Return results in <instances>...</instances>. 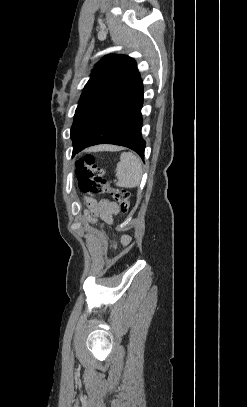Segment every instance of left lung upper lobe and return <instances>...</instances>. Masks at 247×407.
<instances>
[{
  "label": "left lung upper lobe",
  "mask_w": 247,
  "mask_h": 407,
  "mask_svg": "<svg viewBox=\"0 0 247 407\" xmlns=\"http://www.w3.org/2000/svg\"><path fill=\"white\" fill-rule=\"evenodd\" d=\"M139 77L136 61L126 55H106L96 64L75 111L71 127L73 154L104 109Z\"/></svg>",
  "instance_id": "1"
}]
</instances>
